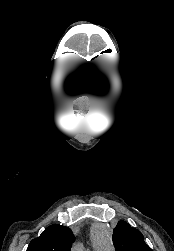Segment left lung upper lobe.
Listing matches in <instances>:
<instances>
[{
	"mask_svg": "<svg viewBox=\"0 0 174 251\" xmlns=\"http://www.w3.org/2000/svg\"><path fill=\"white\" fill-rule=\"evenodd\" d=\"M113 244L116 251H152L142 233L125 221H119L115 227Z\"/></svg>",
	"mask_w": 174,
	"mask_h": 251,
	"instance_id": "left-lung-upper-lobe-1",
	"label": "left lung upper lobe"
}]
</instances>
